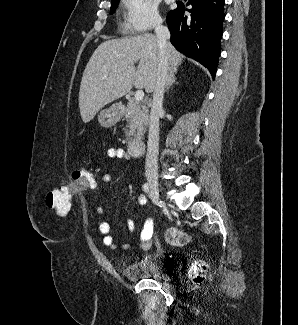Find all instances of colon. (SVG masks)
Here are the masks:
<instances>
[{"label":"colon","mask_w":298,"mask_h":325,"mask_svg":"<svg viewBox=\"0 0 298 325\" xmlns=\"http://www.w3.org/2000/svg\"><path fill=\"white\" fill-rule=\"evenodd\" d=\"M96 187L94 174L83 166L76 167L72 172L71 185L60 186L46 194L44 204L48 209L54 210L58 215H66L71 208L72 197L75 192L90 190ZM167 243L173 246H183L190 242V237L181 230L168 227L165 230ZM152 237L142 240L140 247L150 248ZM205 267L201 263L192 266L190 276L195 283H200L204 279Z\"/></svg>","instance_id":"colon-1"}]
</instances>
